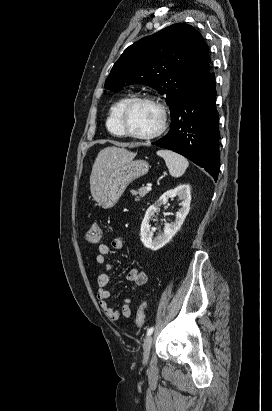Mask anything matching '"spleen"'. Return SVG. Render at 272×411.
I'll return each mask as SVG.
<instances>
[{
	"instance_id": "spleen-1",
	"label": "spleen",
	"mask_w": 272,
	"mask_h": 411,
	"mask_svg": "<svg viewBox=\"0 0 272 411\" xmlns=\"http://www.w3.org/2000/svg\"><path fill=\"white\" fill-rule=\"evenodd\" d=\"M157 155L165 160L170 175L175 178L181 177L189 166L188 160L178 153L161 149Z\"/></svg>"
}]
</instances>
